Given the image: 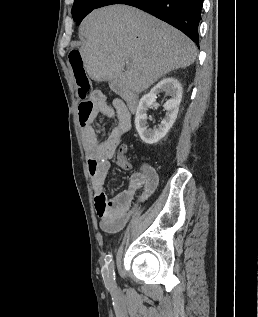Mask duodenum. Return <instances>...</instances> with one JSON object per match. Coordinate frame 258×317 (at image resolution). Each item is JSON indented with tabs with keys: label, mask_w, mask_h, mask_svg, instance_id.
<instances>
[{
	"label": "duodenum",
	"mask_w": 258,
	"mask_h": 317,
	"mask_svg": "<svg viewBox=\"0 0 258 317\" xmlns=\"http://www.w3.org/2000/svg\"><path fill=\"white\" fill-rule=\"evenodd\" d=\"M132 108L133 109H135L136 108V104L134 103V104H132Z\"/></svg>",
	"instance_id": "410a0bca"
}]
</instances>
